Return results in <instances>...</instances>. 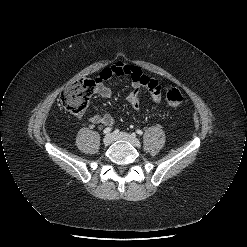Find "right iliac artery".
<instances>
[{"label":"right iliac artery","instance_id":"82829eb1","mask_svg":"<svg viewBox=\"0 0 247 247\" xmlns=\"http://www.w3.org/2000/svg\"><path fill=\"white\" fill-rule=\"evenodd\" d=\"M111 130H112L111 127H107V128L104 129L103 133H104V134H108V133L111 132ZM117 132H118V131H117Z\"/></svg>","mask_w":247,"mask_h":247}]
</instances>
